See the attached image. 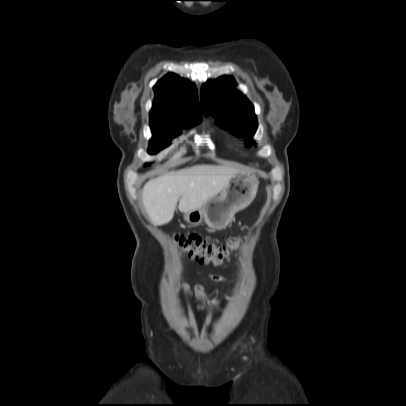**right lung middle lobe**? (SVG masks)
<instances>
[{
    "label": "right lung middle lobe",
    "instance_id": "1",
    "mask_svg": "<svg viewBox=\"0 0 406 406\" xmlns=\"http://www.w3.org/2000/svg\"><path fill=\"white\" fill-rule=\"evenodd\" d=\"M201 121V118L193 120L185 124L168 123V122H158L150 123L153 137L150 140V146L148 149L149 154H155L161 149L167 147L175 135H180V128L191 127L196 125Z\"/></svg>",
    "mask_w": 406,
    "mask_h": 406
}]
</instances>
